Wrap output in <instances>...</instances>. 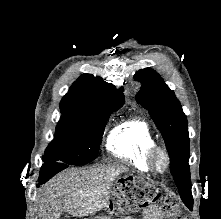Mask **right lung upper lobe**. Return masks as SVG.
Wrapping results in <instances>:
<instances>
[{
	"mask_svg": "<svg viewBox=\"0 0 221 219\" xmlns=\"http://www.w3.org/2000/svg\"><path fill=\"white\" fill-rule=\"evenodd\" d=\"M124 104V95L101 77L81 75L60 103L63 116L95 119L117 111Z\"/></svg>",
	"mask_w": 221,
	"mask_h": 219,
	"instance_id": "obj_1",
	"label": "right lung upper lobe"
}]
</instances>
